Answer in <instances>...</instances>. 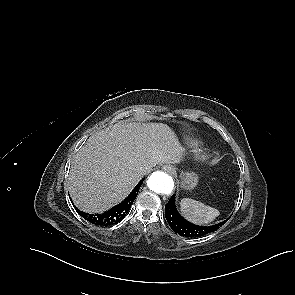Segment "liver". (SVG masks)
Instances as JSON below:
<instances>
[{"label": "liver", "instance_id": "6515ba94", "mask_svg": "<svg viewBox=\"0 0 295 295\" xmlns=\"http://www.w3.org/2000/svg\"><path fill=\"white\" fill-rule=\"evenodd\" d=\"M184 152L174 131L162 123L118 122L92 135L69 173L74 204L102 213L124 200L156 164L179 163Z\"/></svg>", "mask_w": 295, "mask_h": 295}]
</instances>
